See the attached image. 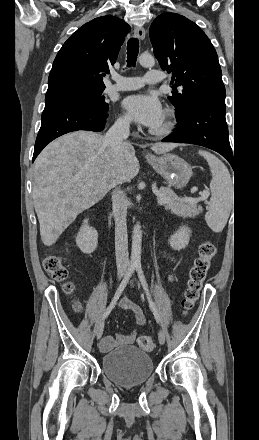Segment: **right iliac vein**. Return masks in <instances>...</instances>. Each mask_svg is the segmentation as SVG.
<instances>
[{"mask_svg": "<svg viewBox=\"0 0 259 440\" xmlns=\"http://www.w3.org/2000/svg\"><path fill=\"white\" fill-rule=\"evenodd\" d=\"M124 275V270H120L118 273V279L120 280ZM103 330H104V321H102L96 331V337L97 339H100L102 337L103 334Z\"/></svg>", "mask_w": 259, "mask_h": 440, "instance_id": "63e3f726", "label": "right iliac vein"}]
</instances>
